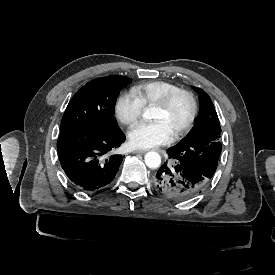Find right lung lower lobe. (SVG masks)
<instances>
[{"label": "right lung lower lobe", "mask_w": 275, "mask_h": 275, "mask_svg": "<svg viewBox=\"0 0 275 275\" xmlns=\"http://www.w3.org/2000/svg\"><path fill=\"white\" fill-rule=\"evenodd\" d=\"M124 141L120 129L103 134L82 126L63 127L57 141L61 167L79 190H98L112 182L118 172L123 157L111 152Z\"/></svg>", "instance_id": "right-lung-lower-lobe-1"}]
</instances>
